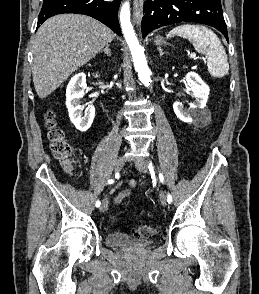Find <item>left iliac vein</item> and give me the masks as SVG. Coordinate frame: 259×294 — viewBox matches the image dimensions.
Returning <instances> with one entry per match:
<instances>
[{
  "mask_svg": "<svg viewBox=\"0 0 259 294\" xmlns=\"http://www.w3.org/2000/svg\"><path fill=\"white\" fill-rule=\"evenodd\" d=\"M135 167L138 171H140L142 173L148 172V162L146 160H142V161L137 162L135 164ZM160 201L163 206L167 205L166 196H165L164 192H162V191L160 192Z\"/></svg>",
  "mask_w": 259,
  "mask_h": 294,
  "instance_id": "left-iliac-vein-1",
  "label": "left iliac vein"
}]
</instances>
